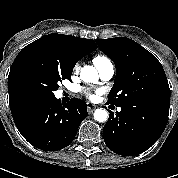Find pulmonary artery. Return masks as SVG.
<instances>
[{
  "label": "pulmonary artery",
  "mask_w": 178,
  "mask_h": 178,
  "mask_svg": "<svg viewBox=\"0 0 178 178\" xmlns=\"http://www.w3.org/2000/svg\"><path fill=\"white\" fill-rule=\"evenodd\" d=\"M99 76L103 81H109L115 74V67L111 61H108L97 67ZM120 110V109H119Z\"/></svg>",
  "instance_id": "obj_1"
}]
</instances>
